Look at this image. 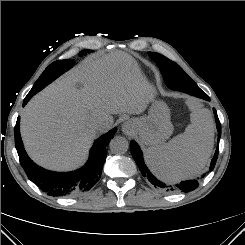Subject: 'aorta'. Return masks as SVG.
<instances>
[{"label":"aorta","mask_w":245,"mask_h":245,"mask_svg":"<svg viewBox=\"0 0 245 245\" xmlns=\"http://www.w3.org/2000/svg\"><path fill=\"white\" fill-rule=\"evenodd\" d=\"M109 146L111 152L115 154H124L129 148V143L125 137L116 136L111 140Z\"/></svg>","instance_id":"aorta-1"}]
</instances>
